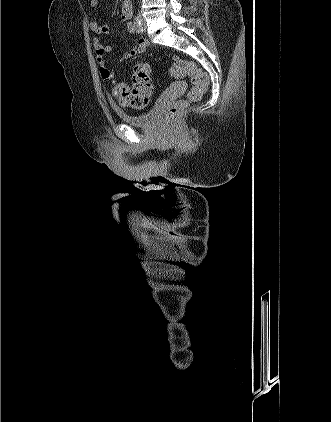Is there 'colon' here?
<instances>
[{
    "instance_id": "colon-1",
    "label": "colon",
    "mask_w": 331,
    "mask_h": 422,
    "mask_svg": "<svg viewBox=\"0 0 331 422\" xmlns=\"http://www.w3.org/2000/svg\"><path fill=\"white\" fill-rule=\"evenodd\" d=\"M174 77H190L192 88L186 98L175 101L167 110L169 118H175L189 102L199 100L207 91L209 79L194 62L178 59L171 68ZM132 86L117 83L114 86V94L119 100L125 101L135 108L146 106L152 93L150 68L147 63L135 65L132 76Z\"/></svg>"
}]
</instances>
